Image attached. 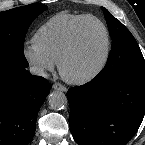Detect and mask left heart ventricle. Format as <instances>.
I'll return each mask as SVG.
<instances>
[{"mask_svg":"<svg viewBox=\"0 0 145 145\" xmlns=\"http://www.w3.org/2000/svg\"><path fill=\"white\" fill-rule=\"evenodd\" d=\"M104 51V30L98 23L88 21L81 29L77 50L66 65L67 73L79 76L89 72L101 61Z\"/></svg>","mask_w":145,"mask_h":145,"instance_id":"left-heart-ventricle-1","label":"left heart ventricle"}]
</instances>
